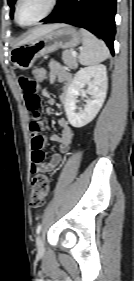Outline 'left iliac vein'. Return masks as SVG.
Segmentation results:
<instances>
[{
	"mask_svg": "<svg viewBox=\"0 0 134 281\" xmlns=\"http://www.w3.org/2000/svg\"><path fill=\"white\" fill-rule=\"evenodd\" d=\"M36 246L38 253L42 254L44 252V241L41 235L37 237Z\"/></svg>",
	"mask_w": 134,
	"mask_h": 281,
	"instance_id": "4c4485c4",
	"label": "left iliac vein"
}]
</instances>
